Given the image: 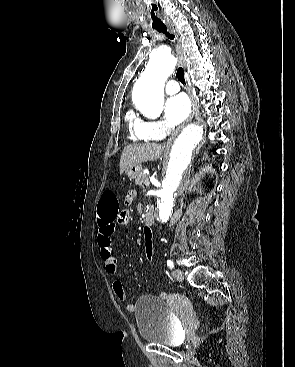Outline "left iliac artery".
Wrapping results in <instances>:
<instances>
[{
	"instance_id": "44dca946",
	"label": "left iliac artery",
	"mask_w": 295,
	"mask_h": 367,
	"mask_svg": "<svg viewBox=\"0 0 295 367\" xmlns=\"http://www.w3.org/2000/svg\"><path fill=\"white\" fill-rule=\"evenodd\" d=\"M167 266H168L170 269H173V268H174V263H173V261H171V260H167Z\"/></svg>"
}]
</instances>
